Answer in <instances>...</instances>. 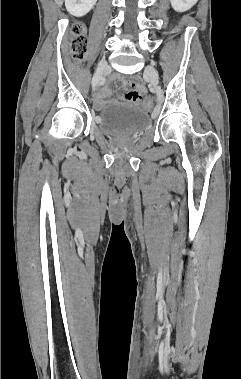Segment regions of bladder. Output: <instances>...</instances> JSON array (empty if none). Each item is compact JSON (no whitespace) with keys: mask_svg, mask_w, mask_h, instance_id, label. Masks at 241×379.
Listing matches in <instances>:
<instances>
[{"mask_svg":"<svg viewBox=\"0 0 241 379\" xmlns=\"http://www.w3.org/2000/svg\"><path fill=\"white\" fill-rule=\"evenodd\" d=\"M97 126L107 137L132 138L145 131L150 124L149 114L137 105L113 104L97 117Z\"/></svg>","mask_w":241,"mask_h":379,"instance_id":"31cf9c89","label":"bladder"}]
</instances>
